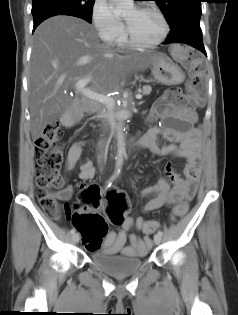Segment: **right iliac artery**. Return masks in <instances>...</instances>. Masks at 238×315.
<instances>
[{
  "mask_svg": "<svg viewBox=\"0 0 238 315\" xmlns=\"http://www.w3.org/2000/svg\"><path fill=\"white\" fill-rule=\"evenodd\" d=\"M114 178H115V176H112V177L106 182V186H107V187H109V186L111 185V183H112V181L114 180ZM75 231H76L75 228H72L71 231H70V233H71V234H74Z\"/></svg>",
  "mask_w": 238,
  "mask_h": 315,
  "instance_id": "82829eb1",
  "label": "right iliac artery"
}]
</instances>
